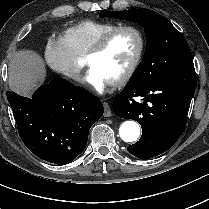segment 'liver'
<instances>
[{"instance_id": "1", "label": "liver", "mask_w": 209, "mask_h": 209, "mask_svg": "<svg viewBox=\"0 0 209 209\" xmlns=\"http://www.w3.org/2000/svg\"><path fill=\"white\" fill-rule=\"evenodd\" d=\"M44 62L32 50H22L14 54L9 65V87L28 96L37 83L45 76Z\"/></svg>"}]
</instances>
